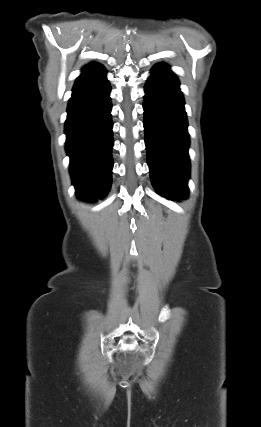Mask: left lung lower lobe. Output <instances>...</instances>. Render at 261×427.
I'll list each match as a JSON object with an SVG mask.
<instances>
[{
  "mask_svg": "<svg viewBox=\"0 0 261 427\" xmlns=\"http://www.w3.org/2000/svg\"><path fill=\"white\" fill-rule=\"evenodd\" d=\"M144 129L152 183L163 197L186 198L189 134L178 79L165 64L153 67L145 86Z\"/></svg>",
  "mask_w": 261,
  "mask_h": 427,
  "instance_id": "1",
  "label": "left lung lower lobe"
}]
</instances>
